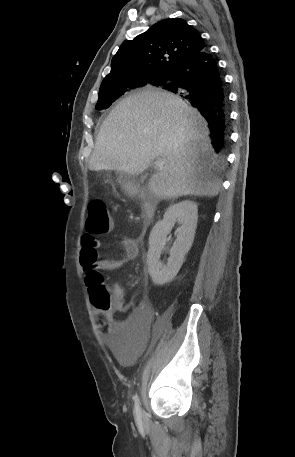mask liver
<instances>
[{
    "mask_svg": "<svg viewBox=\"0 0 295 457\" xmlns=\"http://www.w3.org/2000/svg\"><path fill=\"white\" fill-rule=\"evenodd\" d=\"M207 122L180 97L147 90L119 102L106 117L89 160L91 171L116 170L138 175L154 160L165 165L149 181L162 199L215 196L217 156Z\"/></svg>",
    "mask_w": 295,
    "mask_h": 457,
    "instance_id": "obj_1",
    "label": "liver"
}]
</instances>
